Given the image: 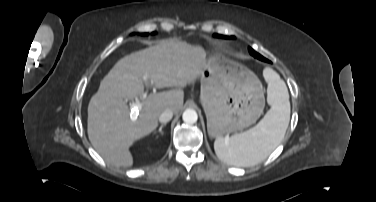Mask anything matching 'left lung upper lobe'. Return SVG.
I'll use <instances>...</instances> for the list:
<instances>
[{
	"label": "left lung upper lobe",
	"mask_w": 376,
	"mask_h": 202,
	"mask_svg": "<svg viewBox=\"0 0 376 202\" xmlns=\"http://www.w3.org/2000/svg\"><path fill=\"white\" fill-rule=\"evenodd\" d=\"M215 37H218V38H235L233 36L231 37H227V36H224V35H220V34H214ZM249 52L252 56H254L255 58L259 59V60H262V61H265V62H268V60L266 58H264L262 55H260L259 53H257L256 51H254L251 47H249Z\"/></svg>",
	"instance_id": "5c2ea615"
}]
</instances>
